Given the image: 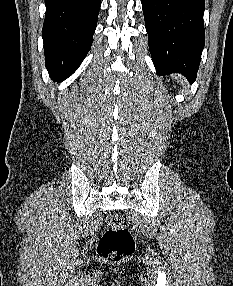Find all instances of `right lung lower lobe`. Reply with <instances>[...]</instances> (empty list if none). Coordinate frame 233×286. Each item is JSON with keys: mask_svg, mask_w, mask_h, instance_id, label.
<instances>
[{"mask_svg": "<svg viewBox=\"0 0 233 286\" xmlns=\"http://www.w3.org/2000/svg\"><path fill=\"white\" fill-rule=\"evenodd\" d=\"M45 5V65L52 78L65 79L92 45L101 0H45Z\"/></svg>", "mask_w": 233, "mask_h": 286, "instance_id": "right-lung-lower-lobe-1", "label": "right lung lower lobe"}]
</instances>
